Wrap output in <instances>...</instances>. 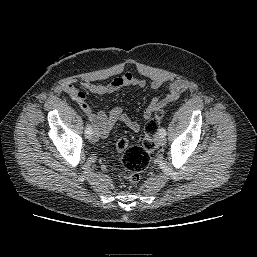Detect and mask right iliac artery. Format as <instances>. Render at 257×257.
<instances>
[{
	"instance_id": "1",
	"label": "right iliac artery",
	"mask_w": 257,
	"mask_h": 257,
	"mask_svg": "<svg viewBox=\"0 0 257 257\" xmlns=\"http://www.w3.org/2000/svg\"><path fill=\"white\" fill-rule=\"evenodd\" d=\"M92 134H93L92 127H91V125L88 123V124L86 125V129H85V136H86L87 138H89Z\"/></svg>"
}]
</instances>
